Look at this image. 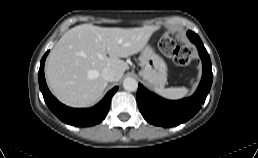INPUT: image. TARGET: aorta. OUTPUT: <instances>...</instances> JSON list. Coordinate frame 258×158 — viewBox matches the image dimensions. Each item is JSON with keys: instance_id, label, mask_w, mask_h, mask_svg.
<instances>
[{"instance_id": "aorta-1", "label": "aorta", "mask_w": 258, "mask_h": 158, "mask_svg": "<svg viewBox=\"0 0 258 158\" xmlns=\"http://www.w3.org/2000/svg\"><path fill=\"white\" fill-rule=\"evenodd\" d=\"M123 88L127 91L133 92L138 88V83L134 78L127 77L123 81Z\"/></svg>"}]
</instances>
